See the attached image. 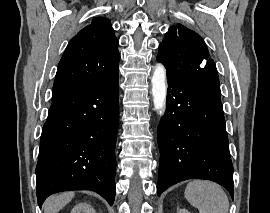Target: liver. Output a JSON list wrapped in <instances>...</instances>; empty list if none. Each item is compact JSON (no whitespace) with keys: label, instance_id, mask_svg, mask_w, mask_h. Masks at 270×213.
I'll use <instances>...</instances> for the list:
<instances>
[{"label":"liver","instance_id":"1","mask_svg":"<svg viewBox=\"0 0 270 213\" xmlns=\"http://www.w3.org/2000/svg\"><path fill=\"white\" fill-rule=\"evenodd\" d=\"M74 197V192H65L48 198L44 204V213H58Z\"/></svg>","mask_w":270,"mask_h":213}]
</instances>
